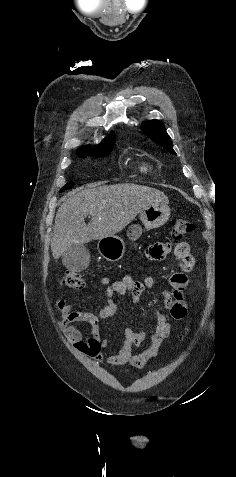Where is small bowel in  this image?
<instances>
[{
  "mask_svg": "<svg viewBox=\"0 0 236 477\" xmlns=\"http://www.w3.org/2000/svg\"><path fill=\"white\" fill-rule=\"evenodd\" d=\"M176 247L187 248L189 251L184 255L176 256L181 263L182 270L172 276L173 291L161 289L160 294L164 306L170 311L171 317L176 321H182L186 318L188 312V303L185 298V290L188 286L186 272L193 268L195 261L190 254L187 243L181 242ZM170 251L171 245L169 243L160 242L152 245L148 249L147 255L151 260L158 261L164 259ZM100 282L105 289V302L97 314L74 311L73 307L63 298L57 301V307L60 311V330L79 352L91 357L96 362H106L116 368L124 365L135 367L146 365L159 355L163 340L171 335L172 325L164 314L156 313V323L150 333L145 330L134 331L131 328H125L123 340L117 351L112 353L104 351L108 346V341L100 337L99 321L116 315L118 305L114 300L115 294L120 296L130 295L132 301L138 303L145 289L158 288V281L152 276H147L142 281H138L130 275H125L116 281L103 277ZM79 322H87L90 325L88 336H84L77 327ZM148 337L151 341L150 346L142 353L133 355V349Z\"/></svg>",
  "mask_w": 236,
  "mask_h": 477,
  "instance_id": "obj_1",
  "label": "small bowel"
}]
</instances>
